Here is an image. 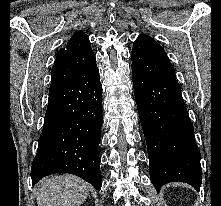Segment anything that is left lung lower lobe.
<instances>
[{"instance_id":"obj_1","label":"left lung lower lobe","mask_w":221,"mask_h":206,"mask_svg":"<svg viewBox=\"0 0 221 206\" xmlns=\"http://www.w3.org/2000/svg\"><path fill=\"white\" fill-rule=\"evenodd\" d=\"M132 75L152 184L159 191L168 182L180 181L199 190L200 152L178 82Z\"/></svg>"}]
</instances>
